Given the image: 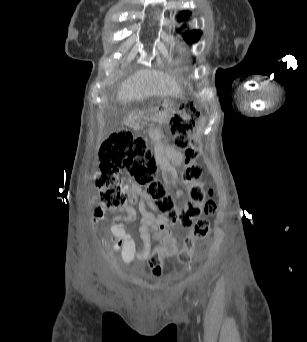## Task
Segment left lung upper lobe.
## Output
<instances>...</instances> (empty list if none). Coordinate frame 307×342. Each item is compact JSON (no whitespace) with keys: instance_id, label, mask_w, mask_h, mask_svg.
Returning a JSON list of instances; mask_svg holds the SVG:
<instances>
[{"instance_id":"5c2ea615","label":"left lung upper lobe","mask_w":307,"mask_h":342,"mask_svg":"<svg viewBox=\"0 0 307 342\" xmlns=\"http://www.w3.org/2000/svg\"><path fill=\"white\" fill-rule=\"evenodd\" d=\"M190 14L191 13L188 12V11L180 12L179 15H178V20L179 21L185 20V19H187L190 16ZM200 36H201V32L200 31L193 30V31H190V32L186 33L183 37H184V39L187 42L194 43V42L198 41Z\"/></svg>"}]
</instances>
